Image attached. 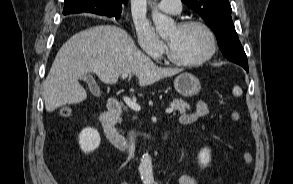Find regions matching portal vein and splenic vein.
Wrapping results in <instances>:
<instances>
[{
  "instance_id": "obj_1",
  "label": "portal vein and splenic vein",
  "mask_w": 293,
  "mask_h": 184,
  "mask_svg": "<svg viewBox=\"0 0 293 184\" xmlns=\"http://www.w3.org/2000/svg\"><path fill=\"white\" fill-rule=\"evenodd\" d=\"M128 75H129V73H123V74H122V79L127 78ZM123 100H124V102H125V103H126L131 109H133V110H135V111H140V109H141V108H140V105H139L136 101L130 99V98L127 97V96H124V97H123ZM172 112H173V107H171V108H167V109H166V113L170 114V113H172Z\"/></svg>"
}]
</instances>
